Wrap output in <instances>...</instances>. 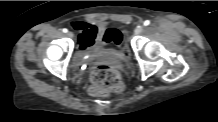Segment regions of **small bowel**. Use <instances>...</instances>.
<instances>
[{
  "mask_svg": "<svg viewBox=\"0 0 218 122\" xmlns=\"http://www.w3.org/2000/svg\"><path fill=\"white\" fill-rule=\"evenodd\" d=\"M71 27L78 33V46L81 51L93 48L95 52H100L103 47L101 46V37L103 28H98L94 24L75 21L71 23ZM126 39L123 45L117 50L120 51L124 48ZM114 51V52H117Z\"/></svg>",
  "mask_w": 218,
  "mask_h": 122,
  "instance_id": "c3829d8e",
  "label": "small bowel"
}]
</instances>
